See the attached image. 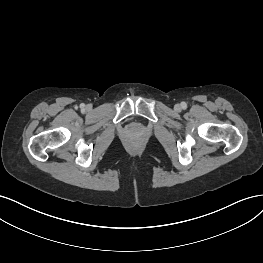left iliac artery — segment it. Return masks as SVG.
Instances as JSON below:
<instances>
[{
	"mask_svg": "<svg viewBox=\"0 0 263 263\" xmlns=\"http://www.w3.org/2000/svg\"><path fill=\"white\" fill-rule=\"evenodd\" d=\"M181 107H182L183 109H185V108L187 107V104H186L185 102H182V103H181Z\"/></svg>",
	"mask_w": 263,
	"mask_h": 263,
	"instance_id": "obj_1",
	"label": "left iliac artery"
}]
</instances>
